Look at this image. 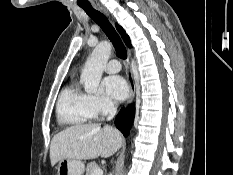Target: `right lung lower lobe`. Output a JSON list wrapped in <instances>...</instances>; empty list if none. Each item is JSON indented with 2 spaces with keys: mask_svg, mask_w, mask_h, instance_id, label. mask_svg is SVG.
<instances>
[{
  "mask_svg": "<svg viewBox=\"0 0 233 175\" xmlns=\"http://www.w3.org/2000/svg\"><path fill=\"white\" fill-rule=\"evenodd\" d=\"M134 115L135 107L130 105L126 109H122L115 119L116 127L124 134L125 137L129 134V129L132 126Z\"/></svg>",
  "mask_w": 233,
  "mask_h": 175,
  "instance_id": "98d812e1",
  "label": "right lung lower lobe"
}]
</instances>
